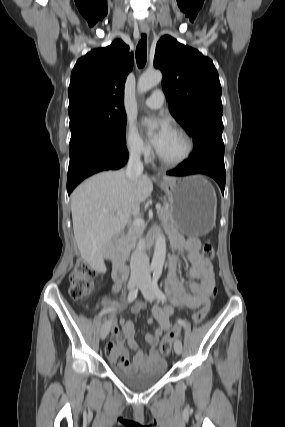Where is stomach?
I'll use <instances>...</instances> for the list:
<instances>
[{"instance_id":"obj_1","label":"stomach","mask_w":285,"mask_h":427,"mask_svg":"<svg viewBox=\"0 0 285 427\" xmlns=\"http://www.w3.org/2000/svg\"><path fill=\"white\" fill-rule=\"evenodd\" d=\"M171 211V222L185 235L202 236L215 224L217 198L203 176L173 178L161 184Z\"/></svg>"}]
</instances>
